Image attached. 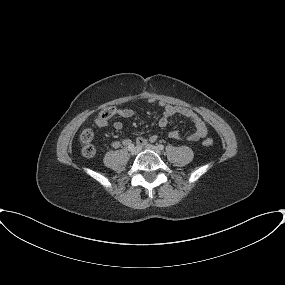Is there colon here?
<instances>
[{
    "label": "colon",
    "mask_w": 285,
    "mask_h": 285,
    "mask_svg": "<svg viewBox=\"0 0 285 285\" xmlns=\"http://www.w3.org/2000/svg\"><path fill=\"white\" fill-rule=\"evenodd\" d=\"M113 114L112 109H107L101 116L105 119L109 118ZM80 142L82 144V154L85 157H92L95 154V146L93 145V132L90 129H85L80 134ZM205 147H211L213 141L211 139H206L203 142Z\"/></svg>",
    "instance_id": "5ec220e1"
}]
</instances>
